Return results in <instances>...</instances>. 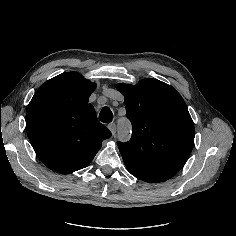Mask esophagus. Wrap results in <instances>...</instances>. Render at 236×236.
I'll return each mask as SVG.
<instances>
[{
    "label": "esophagus",
    "mask_w": 236,
    "mask_h": 236,
    "mask_svg": "<svg viewBox=\"0 0 236 236\" xmlns=\"http://www.w3.org/2000/svg\"><path fill=\"white\" fill-rule=\"evenodd\" d=\"M108 128H109V130L111 131V133H112L113 135L116 134V124H115V123L109 124V125H108Z\"/></svg>",
    "instance_id": "obj_1"
}]
</instances>
